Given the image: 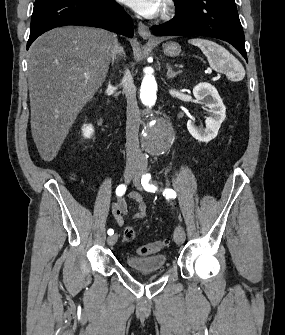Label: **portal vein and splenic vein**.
<instances>
[{
    "label": "portal vein and splenic vein",
    "mask_w": 285,
    "mask_h": 335,
    "mask_svg": "<svg viewBox=\"0 0 285 335\" xmlns=\"http://www.w3.org/2000/svg\"><path fill=\"white\" fill-rule=\"evenodd\" d=\"M84 78H90V74H84Z\"/></svg>",
    "instance_id": "obj_1"
}]
</instances>
